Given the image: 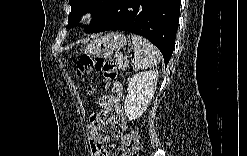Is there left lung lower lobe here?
I'll use <instances>...</instances> for the list:
<instances>
[{"instance_id": "obj_1", "label": "left lung lower lobe", "mask_w": 247, "mask_h": 156, "mask_svg": "<svg viewBox=\"0 0 247 156\" xmlns=\"http://www.w3.org/2000/svg\"><path fill=\"white\" fill-rule=\"evenodd\" d=\"M180 0H114L89 33L124 30L141 35L170 60L180 14Z\"/></svg>"}]
</instances>
